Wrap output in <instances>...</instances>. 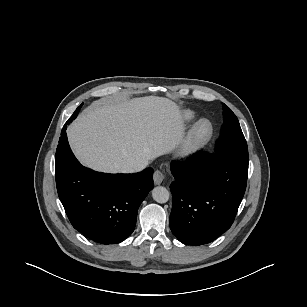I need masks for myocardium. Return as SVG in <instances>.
I'll use <instances>...</instances> for the list:
<instances>
[{"label": "myocardium", "instance_id": "f54148a6", "mask_svg": "<svg viewBox=\"0 0 307 307\" xmlns=\"http://www.w3.org/2000/svg\"><path fill=\"white\" fill-rule=\"evenodd\" d=\"M213 134L214 127L209 120L203 119L196 122L184 143L182 155L190 157L200 152L211 141Z\"/></svg>", "mask_w": 307, "mask_h": 307}]
</instances>
